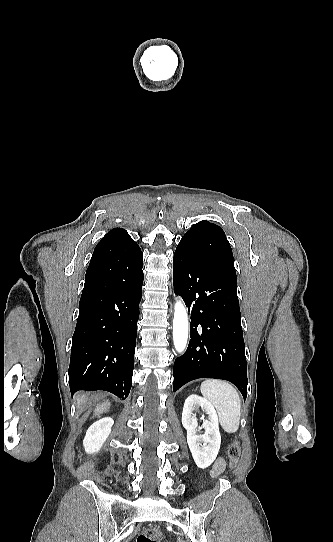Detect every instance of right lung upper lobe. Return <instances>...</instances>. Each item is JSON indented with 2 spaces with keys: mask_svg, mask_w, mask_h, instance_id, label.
Masks as SVG:
<instances>
[{
  "mask_svg": "<svg viewBox=\"0 0 333 542\" xmlns=\"http://www.w3.org/2000/svg\"><path fill=\"white\" fill-rule=\"evenodd\" d=\"M126 230L122 228H114L110 230L98 243L95 249L112 247L116 244L131 240Z\"/></svg>",
  "mask_w": 333,
  "mask_h": 542,
  "instance_id": "right-lung-upper-lobe-1",
  "label": "right lung upper lobe"
}]
</instances>
